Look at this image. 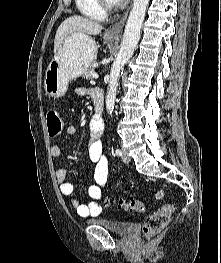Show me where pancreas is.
I'll return each mask as SVG.
<instances>
[{"label":"pancreas","mask_w":221,"mask_h":263,"mask_svg":"<svg viewBox=\"0 0 221 263\" xmlns=\"http://www.w3.org/2000/svg\"><path fill=\"white\" fill-rule=\"evenodd\" d=\"M97 63L93 62L90 67L82 74V77L87 80L92 79V74L95 73L94 69L96 68Z\"/></svg>","instance_id":"cf45deb5"}]
</instances>
